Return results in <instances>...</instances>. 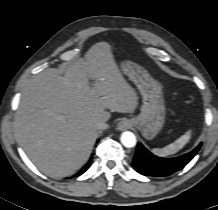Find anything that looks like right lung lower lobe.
Here are the masks:
<instances>
[{"mask_svg": "<svg viewBox=\"0 0 218 210\" xmlns=\"http://www.w3.org/2000/svg\"><path fill=\"white\" fill-rule=\"evenodd\" d=\"M91 163H92V158L82 167V169L78 172L77 175L83 174L89 168Z\"/></svg>", "mask_w": 218, "mask_h": 210, "instance_id": "98d812e1", "label": "right lung lower lobe"}]
</instances>
